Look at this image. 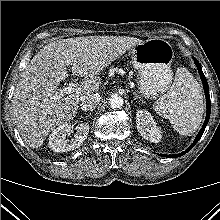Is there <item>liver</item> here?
<instances>
[{
    "label": "liver",
    "instance_id": "6515ba94",
    "mask_svg": "<svg viewBox=\"0 0 220 220\" xmlns=\"http://www.w3.org/2000/svg\"><path fill=\"white\" fill-rule=\"evenodd\" d=\"M143 42L133 37L89 36L61 39L44 46L22 72L13 100V116L31 148L43 145L56 127L72 120L84 96L99 90V74L111 62ZM72 73L84 77L79 90L56 99L58 85Z\"/></svg>",
    "mask_w": 220,
    "mask_h": 220
}]
</instances>
